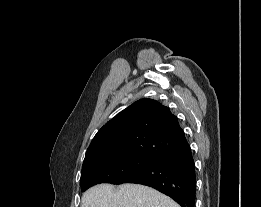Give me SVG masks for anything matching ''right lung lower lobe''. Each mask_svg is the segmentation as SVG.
<instances>
[{"label": "right lung lower lobe", "instance_id": "right-lung-lower-lobe-1", "mask_svg": "<svg viewBox=\"0 0 261 207\" xmlns=\"http://www.w3.org/2000/svg\"><path fill=\"white\" fill-rule=\"evenodd\" d=\"M122 183L150 186L170 196L181 207H195L196 175L190 146L163 156Z\"/></svg>", "mask_w": 261, "mask_h": 207}]
</instances>
